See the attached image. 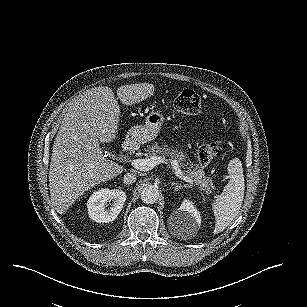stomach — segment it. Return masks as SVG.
Masks as SVG:
<instances>
[{
	"label": "stomach",
	"mask_w": 307,
	"mask_h": 307,
	"mask_svg": "<svg viewBox=\"0 0 307 307\" xmlns=\"http://www.w3.org/2000/svg\"><path fill=\"white\" fill-rule=\"evenodd\" d=\"M162 121L163 116L160 113H151L147 116L145 124L133 126L127 131L125 141L133 145H142L155 139Z\"/></svg>",
	"instance_id": "0dacf381"
}]
</instances>
